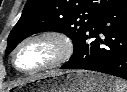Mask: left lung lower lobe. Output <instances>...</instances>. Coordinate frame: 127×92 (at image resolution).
Segmentation results:
<instances>
[{"label": "left lung lower lobe", "mask_w": 127, "mask_h": 92, "mask_svg": "<svg viewBox=\"0 0 127 92\" xmlns=\"http://www.w3.org/2000/svg\"><path fill=\"white\" fill-rule=\"evenodd\" d=\"M61 69H87L127 80V0L96 21L74 46L72 57Z\"/></svg>", "instance_id": "1"}]
</instances>
